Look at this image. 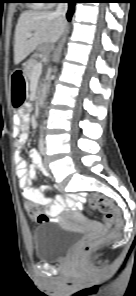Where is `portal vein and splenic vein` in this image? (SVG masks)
Returning <instances> with one entry per match:
<instances>
[{
    "mask_svg": "<svg viewBox=\"0 0 136 296\" xmlns=\"http://www.w3.org/2000/svg\"><path fill=\"white\" fill-rule=\"evenodd\" d=\"M32 35H33L32 33H28L27 37H31ZM41 72H42V63L39 62L34 67L32 74H33V76H39L41 74Z\"/></svg>",
    "mask_w": 136,
    "mask_h": 296,
    "instance_id": "obj_1",
    "label": "portal vein and splenic vein"
}]
</instances>
